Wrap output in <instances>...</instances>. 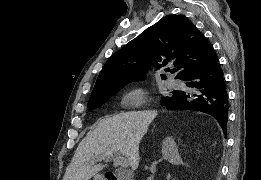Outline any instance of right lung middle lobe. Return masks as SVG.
I'll return each instance as SVG.
<instances>
[{
  "mask_svg": "<svg viewBox=\"0 0 261 180\" xmlns=\"http://www.w3.org/2000/svg\"><path fill=\"white\" fill-rule=\"evenodd\" d=\"M117 92V91H116ZM116 92H113V93H110V94H107V95H104V96H99V97H95V98H92V99H90L89 100V102H88V108L90 109V110H92V109H95V108H97V107H99V106H101L102 104H104L105 103V101L106 100H108L112 95H114ZM177 91H173L172 93L174 94V93H176ZM169 97H163V100H166V99H168ZM162 100V101H163Z\"/></svg>",
  "mask_w": 261,
  "mask_h": 180,
  "instance_id": "1",
  "label": "right lung middle lobe"
}]
</instances>
